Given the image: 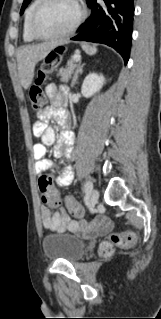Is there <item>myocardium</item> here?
Wrapping results in <instances>:
<instances>
[{"label": "myocardium", "mask_w": 161, "mask_h": 319, "mask_svg": "<svg viewBox=\"0 0 161 319\" xmlns=\"http://www.w3.org/2000/svg\"><path fill=\"white\" fill-rule=\"evenodd\" d=\"M48 1L49 0H39L38 4L36 5L31 15L29 28H30V33L32 34V36L35 39H40V40H54V39H60V38L66 37L70 35L71 33H73L85 16V9L83 5L81 4L80 0H72V2L74 3L76 7L77 14L74 20L72 21V23L64 31L57 34H53V35H43L38 32L35 25L36 19L39 12Z\"/></svg>", "instance_id": "1"}]
</instances>
